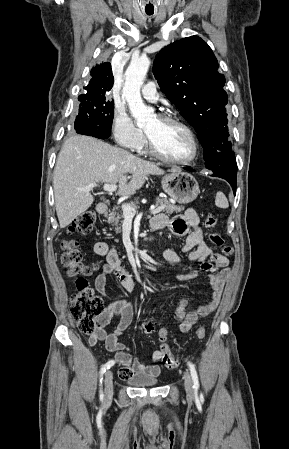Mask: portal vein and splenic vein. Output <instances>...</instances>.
Masks as SVG:
<instances>
[{"mask_svg":"<svg viewBox=\"0 0 289 449\" xmlns=\"http://www.w3.org/2000/svg\"><path fill=\"white\" fill-rule=\"evenodd\" d=\"M96 186H97L96 183H92V184L82 188L81 191L88 192V191L92 190ZM103 189L106 192L111 193V192L116 191L117 185L116 184H104ZM164 209H165L164 205H161L159 207L151 206L150 207V212H151V214H156V213H159V212L163 211ZM122 211H123V215L126 218H133L135 216L136 212H137L134 208L130 207L128 204H123L122 205Z\"/></svg>","mask_w":289,"mask_h":449,"instance_id":"portal-vein-and-splenic-vein-1","label":"portal vein and splenic vein"}]
</instances>
